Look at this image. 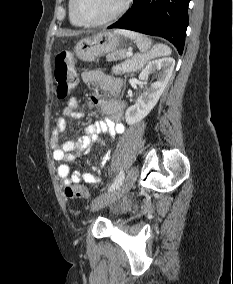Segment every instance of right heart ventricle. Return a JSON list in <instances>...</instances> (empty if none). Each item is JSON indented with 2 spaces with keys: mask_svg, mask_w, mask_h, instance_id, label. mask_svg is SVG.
<instances>
[{
  "mask_svg": "<svg viewBox=\"0 0 233 284\" xmlns=\"http://www.w3.org/2000/svg\"><path fill=\"white\" fill-rule=\"evenodd\" d=\"M68 16L69 21L73 26L81 27L84 25L77 19L74 14V0H68Z\"/></svg>",
  "mask_w": 233,
  "mask_h": 284,
  "instance_id": "obj_1",
  "label": "right heart ventricle"
}]
</instances>
